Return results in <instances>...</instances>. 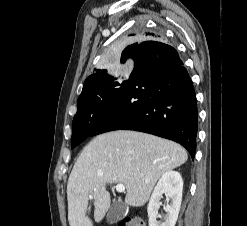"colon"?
<instances>
[{
	"label": "colon",
	"mask_w": 247,
	"mask_h": 226,
	"mask_svg": "<svg viewBox=\"0 0 247 226\" xmlns=\"http://www.w3.org/2000/svg\"><path fill=\"white\" fill-rule=\"evenodd\" d=\"M118 226H146L144 221L139 217H128L122 220Z\"/></svg>",
	"instance_id": "colon-1"
}]
</instances>
